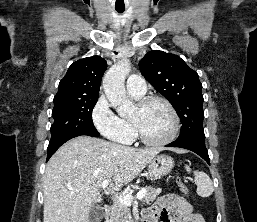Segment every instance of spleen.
<instances>
[{"label":"spleen","mask_w":257,"mask_h":222,"mask_svg":"<svg viewBox=\"0 0 257 222\" xmlns=\"http://www.w3.org/2000/svg\"><path fill=\"white\" fill-rule=\"evenodd\" d=\"M186 169L188 172L191 171L188 166H186ZM194 177L195 184L197 185V194L201 197H209L214 191L210 177L201 171H194Z\"/></svg>","instance_id":"3e777b00"}]
</instances>
